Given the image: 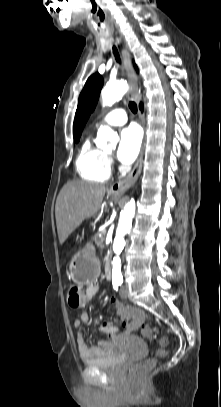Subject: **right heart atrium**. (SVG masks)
<instances>
[{"label": "right heart atrium", "mask_w": 221, "mask_h": 407, "mask_svg": "<svg viewBox=\"0 0 221 407\" xmlns=\"http://www.w3.org/2000/svg\"><path fill=\"white\" fill-rule=\"evenodd\" d=\"M108 163H109V166H111L113 164V161L111 158H108Z\"/></svg>", "instance_id": "d8ad5b80"}]
</instances>
